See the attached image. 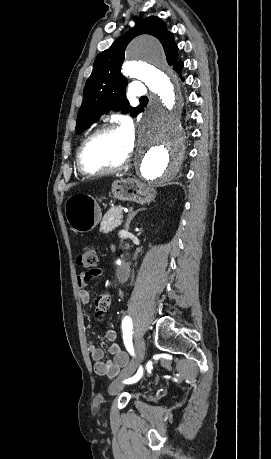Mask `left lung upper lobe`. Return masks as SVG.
Returning a JSON list of instances; mask_svg holds the SVG:
<instances>
[{
  "mask_svg": "<svg viewBox=\"0 0 271 459\" xmlns=\"http://www.w3.org/2000/svg\"><path fill=\"white\" fill-rule=\"evenodd\" d=\"M149 34L156 37L164 48L169 65L178 63L176 57L178 47L165 23L155 16H150L136 22L135 26L116 40L112 46L101 52L94 61L93 71L87 79L83 102L80 107L76 131L82 133L96 122L102 114L111 109L122 110L136 116L142 108H133L125 95L126 78L120 73V67L125 58V49L136 36Z\"/></svg>",
  "mask_w": 271,
  "mask_h": 459,
  "instance_id": "obj_1",
  "label": "left lung upper lobe"
}]
</instances>
